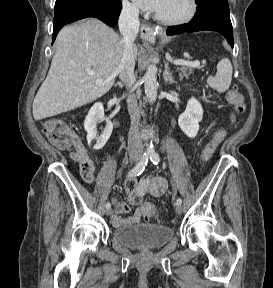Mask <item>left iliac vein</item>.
<instances>
[{
    "label": "left iliac vein",
    "mask_w": 273,
    "mask_h": 288,
    "mask_svg": "<svg viewBox=\"0 0 273 288\" xmlns=\"http://www.w3.org/2000/svg\"><path fill=\"white\" fill-rule=\"evenodd\" d=\"M175 211H176L177 214H181L182 211H183L182 206L181 205H177L176 208H175Z\"/></svg>",
    "instance_id": "4c4485c4"
}]
</instances>
